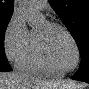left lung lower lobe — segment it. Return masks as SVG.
Here are the masks:
<instances>
[{"instance_id": "1", "label": "left lung lower lobe", "mask_w": 89, "mask_h": 89, "mask_svg": "<svg viewBox=\"0 0 89 89\" xmlns=\"http://www.w3.org/2000/svg\"><path fill=\"white\" fill-rule=\"evenodd\" d=\"M71 78L89 83V60L82 61L80 68Z\"/></svg>"}]
</instances>
